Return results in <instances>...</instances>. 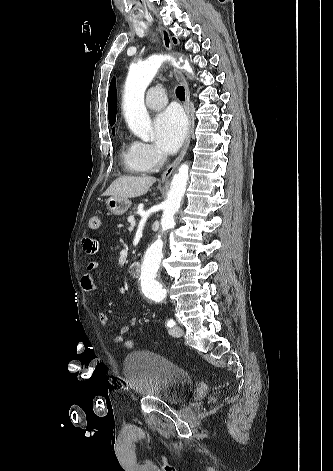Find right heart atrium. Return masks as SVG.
Instances as JSON below:
<instances>
[{
	"label": "right heart atrium",
	"mask_w": 333,
	"mask_h": 471,
	"mask_svg": "<svg viewBox=\"0 0 333 471\" xmlns=\"http://www.w3.org/2000/svg\"><path fill=\"white\" fill-rule=\"evenodd\" d=\"M131 146L136 160L148 171L156 170L162 165L164 157L153 145L134 141Z\"/></svg>",
	"instance_id": "right-heart-atrium-1"
}]
</instances>
